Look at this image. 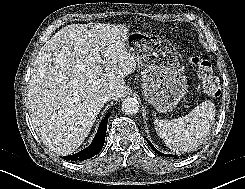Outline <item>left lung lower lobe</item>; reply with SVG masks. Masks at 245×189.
Wrapping results in <instances>:
<instances>
[{
  "instance_id": "left-lung-lower-lobe-1",
  "label": "left lung lower lobe",
  "mask_w": 245,
  "mask_h": 189,
  "mask_svg": "<svg viewBox=\"0 0 245 189\" xmlns=\"http://www.w3.org/2000/svg\"><path fill=\"white\" fill-rule=\"evenodd\" d=\"M147 141H148L150 147H151L154 151H156L157 154H159V155H161V156L172 157V155H167V154H163V153L159 152L158 150H156V149L154 148V146L150 143L149 140H147Z\"/></svg>"
}]
</instances>
